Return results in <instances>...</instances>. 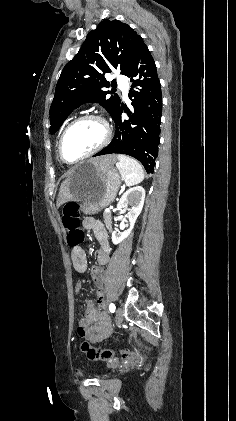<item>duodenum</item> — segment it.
Returning <instances> with one entry per match:
<instances>
[{
  "mask_svg": "<svg viewBox=\"0 0 236 421\" xmlns=\"http://www.w3.org/2000/svg\"><path fill=\"white\" fill-rule=\"evenodd\" d=\"M109 252L110 249L107 247L106 244H103V249L99 256V264L103 265L108 262L109 260ZM104 270L100 266L95 267L92 271V277L98 286L97 290V302L99 307H103L105 305V291H104ZM90 312L93 314L94 317H97L98 320L95 322L94 326H88L86 323L83 325L84 333L87 336H95L98 337L101 335V324L99 321V315L97 312L90 308Z\"/></svg>",
  "mask_w": 236,
  "mask_h": 421,
  "instance_id": "obj_1",
  "label": "duodenum"
}]
</instances>
